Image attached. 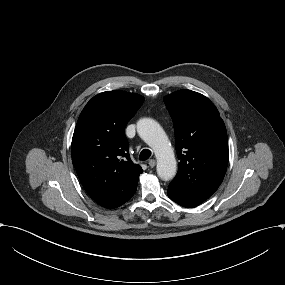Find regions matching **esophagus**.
Segmentation results:
<instances>
[{
  "mask_svg": "<svg viewBox=\"0 0 285 285\" xmlns=\"http://www.w3.org/2000/svg\"><path fill=\"white\" fill-rule=\"evenodd\" d=\"M148 165L151 167V168H154L155 165H156V160L155 159H150L148 161Z\"/></svg>",
  "mask_w": 285,
  "mask_h": 285,
  "instance_id": "1",
  "label": "esophagus"
}]
</instances>
